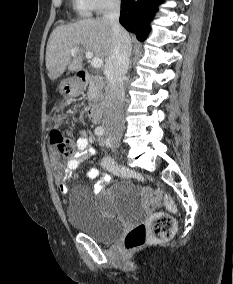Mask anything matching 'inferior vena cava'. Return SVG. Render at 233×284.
<instances>
[{
	"mask_svg": "<svg viewBox=\"0 0 233 284\" xmlns=\"http://www.w3.org/2000/svg\"><path fill=\"white\" fill-rule=\"evenodd\" d=\"M120 0H108L103 18L112 26V49L105 65L107 79L103 127L106 132L117 134L124 129L123 81L129 68L131 39L119 23Z\"/></svg>",
	"mask_w": 233,
	"mask_h": 284,
	"instance_id": "1",
	"label": "inferior vena cava"
}]
</instances>
